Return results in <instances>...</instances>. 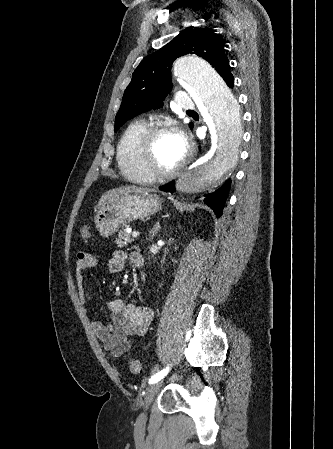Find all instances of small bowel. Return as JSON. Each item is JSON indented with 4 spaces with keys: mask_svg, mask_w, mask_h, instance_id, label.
I'll use <instances>...</instances> for the list:
<instances>
[{
    "mask_svg": "<svg viewBox=\"0 0 333 449\" xmlns=\"http://www.w3.org/2000/svg\"><path fill=\"white\" fill-rule=\"evenodd\" d=\"M127 260L134 263V253L128 255L124 251H115L108 262L109 272H121ZM96 263V258L92 254L84 251L77 253L75 281L79 300L83 304L86 302L85 271L94 267ZM109 310L111 313L109 320L95 321L92 326L106 350L113 356H120L132 347L135 339L147 332L153 311L148 307L123 300L111 301Z\"/></svg>",
    "mask_w": 333,
    "mask_h": 449,
    "instance_id": "1",
    "label": "small bowel"
}]
</instances>
